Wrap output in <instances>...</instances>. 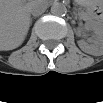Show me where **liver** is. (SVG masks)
Here are the masks:
<instances>
[{
    "label": "liver",
    "instance_id": "obj_1",
    "mask_svg": "<svg viewBox=\"0 0 103 103\" xmlns=\"http://www.w3.org/2000/svg\"><path fill=\"white\" fill-rule=\"evenodd\" d=\"M31 5V2L24 0L1 2L0 47L2 51L13 50L23 43L30 26Z\"/></svg>",
    "mask_w": 103,
    "mask_h": 103
}]
</instances>
